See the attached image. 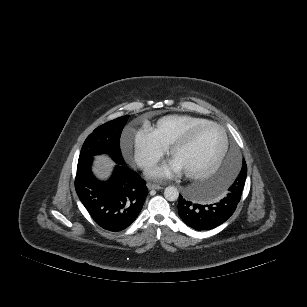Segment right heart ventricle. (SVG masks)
<instances>
[{"instance_id": "1", "label": "right heart ventricle", "mask_w": 307, "mask_h": 307, "mask_svg": "<svg viewBox=\"0 0 307 307\" xmlns=\"http://www.w3.org/2000/svg\"><path fill=\"white\" fill-rule=\"evenodd\" d=\"M207 121L209 120L193 115H167L160 118L151 130L162 143L169 146L192 127Z\"/></svg>"}]
</instances>
